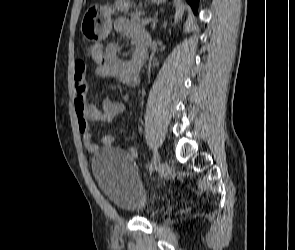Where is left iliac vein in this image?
<instances>
[{
    "label": "left iliac vein",
    "mask_w": 295,
    "mask_h": 250,
    "mask_svg": "<svg viewBox=\"0 0 295 250\" xmlns=\"http://www.w3.org/2000/svg\"><path fill=\"white\" fill-rule=\"evenodd\" d=\"M153 158L158 162V166H157V172H158V176L160 178H164L168 175L169 172V166L166 162H161L160 161V156L158 154V152H154Z\"/></svg>",
    "instance_id": "4c4485c4"
}]
</instances>
